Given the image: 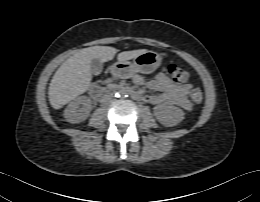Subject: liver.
I'll list each match as a JSON object with an SVG mask.
<instances>
[{"instance_id":"liver-1","label":"liver","mask_w":260,"mask_h":202,"mask_svg":"<svg viewBox=\"0 0 260 202\" xmlns=\"http://www.w3.org/2000/svg\"><path fill=\"white\" fill-rule=\"evenodd\" d=\"M146 49L125 51L118 54L119 61L134 59L147 52ZM117 49L109 46H93L81 49L64 61L54 74L49 86V102L54 109H60L77 96L87 91L92 80L91 60L98 58L107 62L114 58Z\"/></svg>"}]
</instances>
